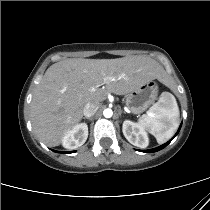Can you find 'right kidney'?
I'll use <instances>...</instances> for the list:
<instances>
[{
    "label": "right kidney",
    "instance_id": "obj_1",
    "mask_svg": "<svg viewBox=\"0 0 210 210\" xmlns=\"http://www.w3.org/2000/svg\"><path fill=\"white\" fill-rule=\"evenodd\" d=\"M88 138V126L86 123L76 124L68 130L62 139V145L66 149H76L82 146Z\"/></svg>",
    "mask_w": 210,
    "mask_h": 210
}]
</instances>
